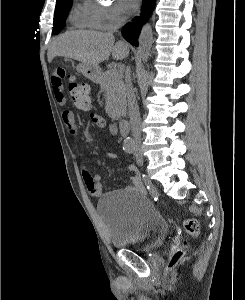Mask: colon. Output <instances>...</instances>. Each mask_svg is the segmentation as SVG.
<instances>
[{"label": "colon", "mask_w": 245, "mask_h": 300, "mask_svg": "<svg viewBox=\"0 0 245 300\" xmlns=\"http://www.w3.org/2000/svg\"><path fill=\"white\" fill-rule=\"evenodd\" d=\"M54 73H56L62 80L65 79L67 81L70 95L75 107L82 112L90 111L92 107V99L88 85L78 81L74 74L64 70L63 68H57ZM184 229L187 234L192 237L197 236L200 232L199 223L194 218H189L184 221ZM183 255V250L177 251L170 259L168 268H173L180 261Z\"/></svg>", "instance_id": "5ec220e1"}]
</instances>
